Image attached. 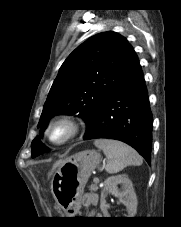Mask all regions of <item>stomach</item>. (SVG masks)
<instances>
[{
  "label": "stomach",
  "mask_w": 181,
  "mask_h": 227,
  "mask_svg": "<svg viewBox=\"0 0 181 227\" xmlns=\"http://www.w3.org/2000/svg\"><path fill=\"white\" fill-rule=\"evenodd\" d=\"M100 161L99 152L85 150L70 156L55 170L50 190L56 203L66 214L74 215L78 212L88 178Z\"/></svg>",
  "instance_id": "1"
}]
</instances>
